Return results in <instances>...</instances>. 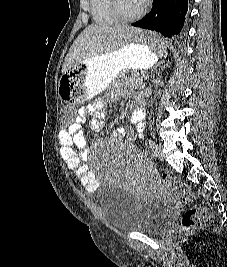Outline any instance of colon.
<instances>
[{"label":"colon","mask_w":227,"mask_h":267,"mask_svg":"<svg viewBox=\"0 0 227 267\" xmlns=\"http://www.w3.org/2000/svg\"><path fill=\"white\" fill-rule=\"evenodd\" d=\"M63 119H75L74 105H67L61 112ZM61 125H72V120H61ZM161 186L167 191L177 195L183 201H190L193 197L191 188L175 176L164 173L160 180ZM213 212L206 207H192L187 209L181 219V230L185 236L212 226Z\"/></svg>","instance_id":"1"}]
</instances>
